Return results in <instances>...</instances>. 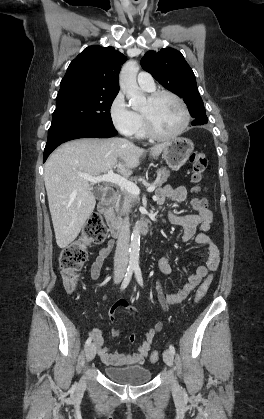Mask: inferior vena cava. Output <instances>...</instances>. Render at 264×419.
I'll list each match as a JSON object with an SVG mask.
<instances>
[{
    "label": "inferior vena cava",
    "instance_id": "1",
    "mask_svg": "<svg viewBox=\"0 0 264 419\" xmlns=\"http://www.w3.org/2000/svg\"><path fill=\"white\" fill-rule=\"evenodd\" d=\"M130 224L128 216L119 226V235L114 257V267L122 272L126 271L129 255Z\"/></svg>",
    "mask_w": 264,
    "mask_h": 419
}]
</instances>
